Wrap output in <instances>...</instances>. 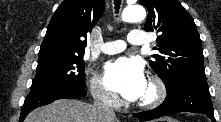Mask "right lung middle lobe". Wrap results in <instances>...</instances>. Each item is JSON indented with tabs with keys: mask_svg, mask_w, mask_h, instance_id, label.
Listing matches in <instances>:
<instances>
[{
	"mask_svg": "<svg viewBox=\"0 0 221 122\" xmlns=\"http://www.w3.org/2000/svg\"><path fill=\"white\" fill-rule=\"evenodd\" d=\"M85 63L80 56H54L38 60L30 90L70 85L85 88Z\"/></svg>",
	"mask_w": 221,
	"mask_h": 122,
	"instance_id": "1",
	"label": "right lung middle lobe"
}]
</instances>
